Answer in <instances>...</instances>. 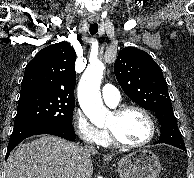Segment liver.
I'll return each instance as SVG.
<instances>
[{
  "label": "liver",
  "instance_id": "liver-1",
  "mask_svg": "<svg viewBox=\"0 0 194 178\" xmlns=\"http://www.w3.org/2000/svg\"><path fill=\"white\" fill-rule=\"evenodd\" d=\"M95 153L60 137L44 135L20 145L10 155L6 178H91Z\"/></svg>",
  "mask_w": 194,
  "mask_h": 178
}]
</instances>
